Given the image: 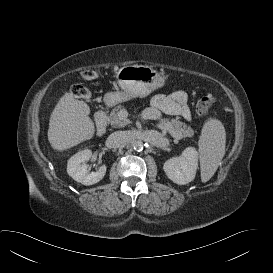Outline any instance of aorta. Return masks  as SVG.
<instances>
[{
  "mask_svg": "<svg viewBox=\"0 0 273 273\" xmlns=\"http://www.w3.org/2000/svg\"><path fill=\"white\" fill-rule=\"evenodd\" d=\"M132 146L135 151H142L144 148V143L141 140H135Z\"/></svg>",
  "mask_w": 273,
  "mask_h": 273,
  "instance_id": "aorta-1",
  "label": "aorta"
}]
</instances>
